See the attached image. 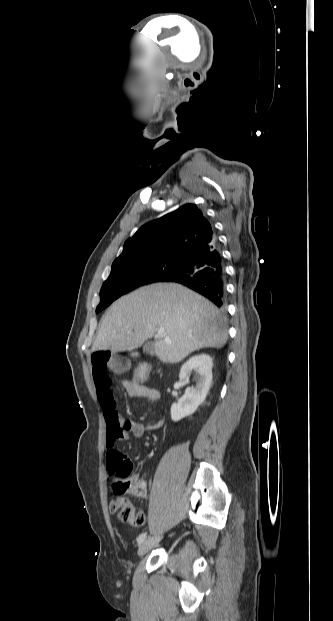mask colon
Masks as SVG:
<instances>
[{
    "label": "colon",
    "mask_w": 333,
    "mask_h": 621,
    "mask_svg": "<svg viewBox=\"0 0 333 621\" xmlns=\"http://www.w3.org/2000/svg\"><path fill=\"white\" fill-rule=\"evenodd\" d=\"M150 372L148 365L139 367L133 375V378L127 381L128 387L133 389L139 384L143 383L147 375ZM130 468H119L111 471L110 485L115 493L116 497L110 504L112 512L117 513V517L120 521L129 523L134 526H142L145 523V515L142 512H137L124 497V495L131 491L133 483L129 477Z\"/></svg>",
    "instance_id": "1"
}]
</instances>
